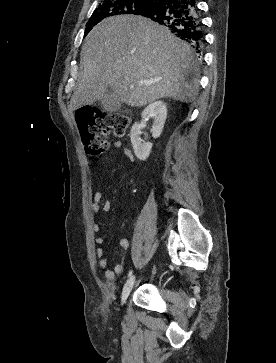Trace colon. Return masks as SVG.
<instances>
[{
	"instance_id": "1",
	"label": "colon",
	"mask_w": 276,
	"mask_h": 363,
	"mask_svg": "<svg viewBox=\"0 0 276 363\" xmlns=\"http://www.w3.org/2000/svg\"><path fill=\"white\" fill-rule=\"evenodd\" d=\"M85 150L98 156L108 148V135H124L129 120L122 113L101 112L92 108H81L76 112Z\"/></svg>"
}]
</instances>
